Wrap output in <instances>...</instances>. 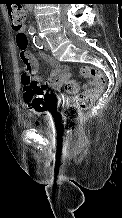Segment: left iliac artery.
Listing matches in <instances>:
<instances>
[{"label": "left iliac artery", "mask_w": 122, "mask_h": 218, "mask_svg": "<svg viewBox=\"0 0 122 218\" xmlns=\"http://www.w3.org/2000/svg\"><path fill=\"white\" fill-rule=\"evenodd\" d=\"M33 42H34V45H35L38 49H43V44H42L41 40L39 39V37L34 36V37H33Z\"/></svg>", "instance_id": "44dca946"}]
</instances>
